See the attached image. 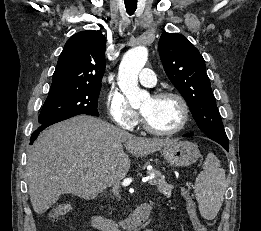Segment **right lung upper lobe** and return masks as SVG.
<instances>
[{
  "mask_svg": "<svg viewBox=\"0 0 261 231\" xmlns=\"http://www.w3.org/2000/svg\"><path fill=\"white\" fill-rule=\"evenodd\" d=\"M106 39L101 31L74 34L59 56L51 89L101 87Z\"/></svg>",
  "mask_w": 261,
  "mask_h": 231,
  "instance_id": "1",
  "label": "right lung upper lobe"
}]
</instances>
